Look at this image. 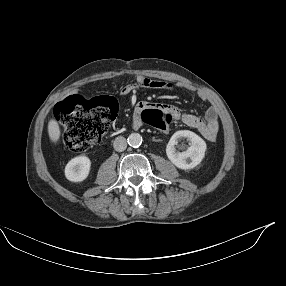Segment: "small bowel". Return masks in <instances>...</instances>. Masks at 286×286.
Instances as JSON below:
<instances>
[{
  "label": "small bowel",
  "mask_w": 286,
  "mask_h": 286,
  "mask_svg": "<svg viewBox=\"0 0 286 286\" xmlns=\"http://www.w3.org/2000/svg\"><path fill=\"white\" fill-rule=\"evenodd\" d=\"M138 88H150L156 90H191L190 88L182 85L136 75L134 82L123 86L121 88V92L124 95H129L134 93ZM198 97L204 101L208 100L207 94L202 91H198ZM159 108L162 111L168 112L173 119H181L189 128L199 132L206 140L210 142L216 141L219 131V120L217 109L214 106H209L205 112L204 118H200L192 114L178 112L175 108L169 106V102L167 100H140L137 107L132 109V114L134 116H139L142 112L148 109L154 110Z\"/></svg>",
  "instance_id": "c3829d8e"
}]
</instances>
